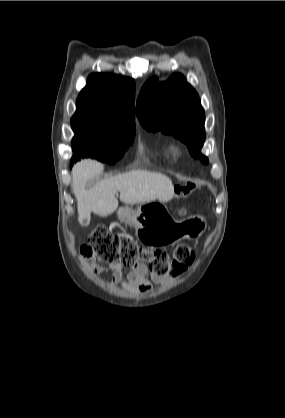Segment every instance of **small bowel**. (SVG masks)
<instances>
[{"mask_svg": "<svg viewBox=\"0 0 285 418\" xmlns=\"http://www.w3.org/2000/svg\"><path fill=\"white\" fill-rule=\"evenodd\" d=\"M92 276H97L102 273H111V283L116 285L125 281L131 290H139L145 292L149 289L151 282L162 283L167 282V279L158 277L149 272L147 266L143 263L134 265L125 275L123 267L120 263H113L108 266H103L95 261L86 265Z\"/></svg>", "mask_w": 285, "mask_h": 418, "instance_id": "obj_1", "label": "small bowel"}]
</instances>
